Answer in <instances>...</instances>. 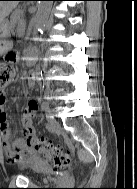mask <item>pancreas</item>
I'll return each instance as SVG.
<instances>
[{
	"label": "pancreas",
	"mask_w": 137,
	"mask_h": 189,
	"mask_svg": "<svg viewBox=\"0 0 137 189\" xmlns=\"http://www.w3.org/2000/svg\"><path fill=\"white\" fill-rule=\"evenodd\" d=\"M22 23L23 22V11L21 9H16L12 15H11V23L13 27L17 23Z\"/></svg>",
	"instance_id": "cf45deb5"
}]
</instances>
